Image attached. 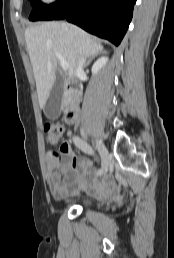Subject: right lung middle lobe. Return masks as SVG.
I'll list each match as a JSON object with an SVG mask.
<instances>
[{
    "mask_svg": "<svg viewBox=\"0 0 174 258\" xmlns=\"http://www.w3.org/2000/svg\"><path fill=\"white\" fill-rule=\"evenodd\" d=\"M31 3L34 9L29 16V20L31 21L41 20L49 10L50 6L43 4L40 0H31Z\"/></svg>",
    "mask_w": 174,
    "mask_h": 258,
    "instance_id": "obj_1",
    "label": "right lung middle lobe"
}]
</instances>
